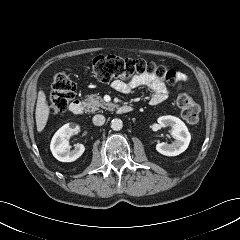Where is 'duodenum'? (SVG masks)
I'll return each instance as SVG.
<instances>
[{
  "instance_id": "1",
  "label": "duodenum",
  "mask_w": 240,
  "mask_h": 240,
  "mask_svg": "<svg viewBox=\"0 0 240 240\" xmlns=\"http://www.w3.org/2000/svg\"><path fill=\"white\" fill-rule=\"evenodd\" d=\"M69 111L73 115H80L83 112V104L79 99L73 100L69 105ZM133 111V107L129 105H122L117 108L119 114H126Z\"/></svg>"
}]
</instances>
